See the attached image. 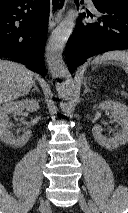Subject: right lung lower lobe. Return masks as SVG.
I'll use <instances>...</instances> for the list:
<instances>
[{"instance_id":"obj_1","label":"right lung lower lobe","mask_w":128,"mask_h":213,"mask_svg":"<svg viewBox=\"0 0 128 213\" xmlns=\"http://www.w3.org/2000/svg\"><path fill=\"white\" fill-rule=\"evenodd\" d=\"M48 18L49 0L0 1V57L19 60L45 76Z\"/></svg>"}]
</instances>
